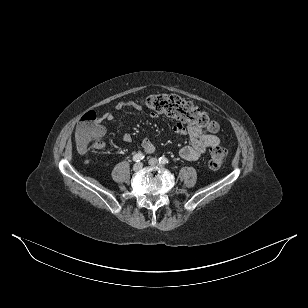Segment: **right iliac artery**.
<instances>
[{
	"label": "right iliac artery",
	"mask_w": 308,
	"mask_h": 308,
	"mask_svg": "<svg viewBox=\"0 0 308 308\" xmlns=\"http://www.w3.org/2000/svg\"><path fill=\"white\" fill-rule=\"evenodd\" d=\"M142 159H144V155L142 153H137L136 155L133 156V161L139 162Z\"/></svg>",
	"instance_id": "82829eb1"
}]
</instances>
